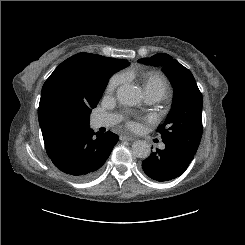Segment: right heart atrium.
I'll return each mask as SVG.
<instances>
[{"instance_id":"1","label":"right heart atrium","mask_w":245,"mask_h":245,"mask_svg":"<svg viewBox=\"0 0 245 245\" xmlns=\"http://www.w3.org/2000/svg\"><path fill=\"white\" fill-rule=\"evenodd\" d=\"M124 80L123 75L116 74L114 75L107 84V92H113Z\"/></svg>"}]
</instances>
